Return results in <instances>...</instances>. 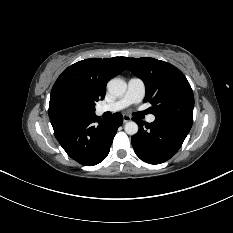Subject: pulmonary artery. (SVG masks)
Here are the masks:
<instances>
[{
    "label": "pulmonary artery",
    "mask_w": 233,
    "mask_h": 233,
    "mask_svg": "<svg viewBox=\"0 0 233 233\" xmlns=\"http://www.w3.org/2000/svg\"><path fill=\"white\" fill-rule=\"evenodd\" d=\"M145 96V84L137 77H132L128 80L126 93L114 102L103 104L97 107L96 112L103 114L106 112H118L121 111L131 104L139 103ZM147 121L152 123L155 121L154 115H149Z\"/></svg>",
    "instance_id": "obj_1"
}]
</instances>
